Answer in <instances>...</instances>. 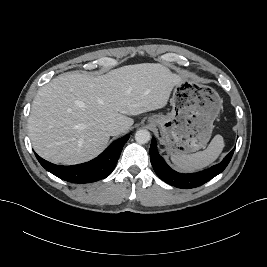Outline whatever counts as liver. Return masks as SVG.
I'll return each mask as SVG.
<instances>
[{"label": "liver", "instance_id": "6515ba94", "mask_svg": "<svg viewBox=\"0 0 267 267\" xmlns=\"http://www.w3.org/2000/svg\"><path fill=\"white\" fill-rule=\"evenodd\" d=\"M156 63L127 65L101 76L62 74L37 92L28 119L36 153L56 164L72 165L97 156L107 145V125L123 131L136 116L166 106L180 81Z\"/></svg>", "mask_w": 267, "mask_h": 267}]
</instances>
